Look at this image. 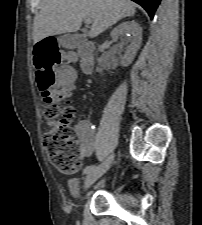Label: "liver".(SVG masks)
<instances>
[{"mask_svg": "<svg viewBox=\"0 0 202 225\" xmlns=\"http://www.w3.org/2000/svg\"><path fill=\"white\" fill-rule=\"evenodd\" d=\"M135 12V5L128 0H44L34 19L33 40L36 43L51 35L78 31L85 18L91 19L89 36L95 38Z\"/></svg>", "mask_w": 202, "mask_h": 225, "instance_id": "1", "label": "liver"}]
</instances>
